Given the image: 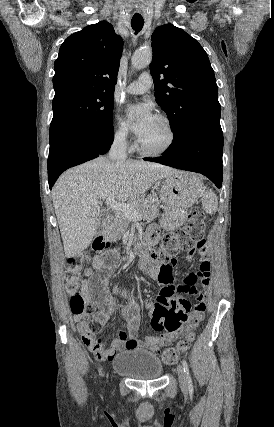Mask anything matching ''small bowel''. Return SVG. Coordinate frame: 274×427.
<instances>
[{
	"instance_id": "c3829d8e",
	"label": "small bowel",
	"mask_w": 274,
	"mask_h": 427,
	"mask_svg": "<svg viewBox=\"0 0 274 427\" xmlns=\"http://www.w3.org/2000/svg\"><path fill=\"white\" fill-rule=\"evenodd\" d=\"M157 238L158 227L151 225L147 232V241L154 244ZM203 250L204 247L201 244L195 246L196 252L205 254ZM190 254H193V251H190ZM204 260L203 258L202 261ZM119 261V250L109 249L96 255L92 263L82 270L79 292L86 305L97 307L93 314V320L106 324L116 312H121L126 318V329L121 330L118 337L110 345H105L102 338L96 337L90 332L89 322L84 315L74 314V321L78 325L84 343L97 359L113 360L120 351L154 350L157 347L169 344L178 336L183 335V320H189L190 312L180 310H194L193 314L200 315V322L203 320L206 294L210 286L209 272L211 266L209 264H202L199 268L202 273H209L206 278L201 275H183L179 280L174 264H165L164 269L160 270L161 264L157 261L150 265L141 263L140 268L152 279L158 280L164 287L156 290V299H151L150 303L148 299H141L140 307L148 308L150 304L151 311L147 313L150 326L155 327L156 332L170 333L160 336H146L140 340L137 336L141 323L138 304L132 298L128 306L121 304L120 300L128 298L129 295L119 283H115L111 290L107 288V280L111 272L118 267ZM188 261L193 265L197 260L192 256ZM201 283L203 291L196 294L195 304L194 301H181L179 294H194L198 290L194 284ZM196 328H191L189 323L185 331L196 330Z\"/></svg>"
}]
</instances>
